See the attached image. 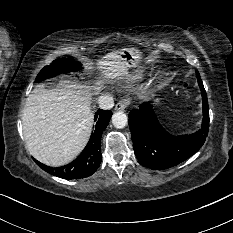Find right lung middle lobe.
Segmentation results:
<instances>
[{"label": "right lung middle lobe", "mask_w": 233, "mask_h": 233, "mask_svg": "<svg viewBox=\"0 0 233 233\" xmlns=\"http://www.w3.org/2000/svg\"><path fill=\"white\" fill-rule=\"evenodd\" d=\"M81 69V64L73 59L63 58L54 60L49 66H45L37 75L36 82L53 77L60 73Z\"/></svg>", "instance_id": "obj_1"}]
</instances>
